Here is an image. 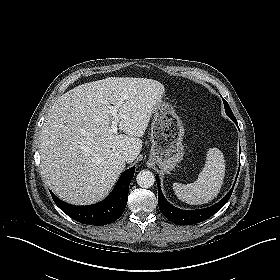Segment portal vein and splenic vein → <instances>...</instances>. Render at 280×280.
Segmentation results:
<instances>
[{
	"mask_svg": "<svg viewBox=\"0 0 280 280\" xmlns=\"http://www.w3.org/2000/svg\"><path fill=\"white\" fill-rule=\"evenodd\" d=\"M110 113L112 114L114 120L112 121L111 127H110V131L112 133H116L118 130V122H117V118H118V114H117V107L116 106H110Z\"/></svg>",
	"mask_w": 280,
	"mask_h": 280,
	"instance_id": "portal-vein-and-splenic-vein-1",
	"label": "portal vein and splenic vein"
}]
</instances>
